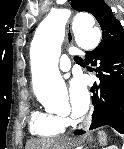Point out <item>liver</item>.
Masks as SVG:
<instances>
[{"label":"liver","mask_w":124,"mask_h":149,"mask_svg":"<svg viewBox=\"0 0 124 149\" xmlns=\"http://www.w3.org/2000/svg\"><path fill=\"white\" fill-rule=\"evenodd\" d=\"M53 140L32 139L27 142L25 149H54Z\"/></svg>","instance_id":"liver-1"}]
</instances>
